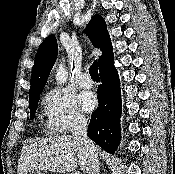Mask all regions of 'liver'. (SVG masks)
Returning a JSON list of instances; mask_svg holds the SVG:
<instances>
[{"mask_svg":"<svg viewBox=\"0 0 175 174\" xmlns=\"http://www.w3.org/2000/svg\"><path fill=\"white\" fill-rule=\"evenodd\" d=\"M77 163L84 173L90 170V156L84 145L73 136L49 137L25 145L18 160V174L31 170L68 173L76 169Z\"/></svg>","mask_w":175,"mask_h":174,"instance_id":"obj_1","label":"liver"}]
</instances>
